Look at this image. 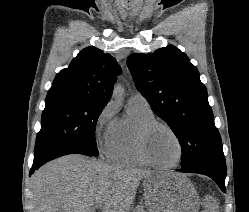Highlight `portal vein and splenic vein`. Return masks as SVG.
Returning a JSON list of instances; mask_svg holds the SVG:
<instances>
[{
  "instance_id": "portal-vein-and-splenic-vein-1",
  "label": "portal vein and splenic vein",
  "mask_w": 249,
  "mask_h": 212,
  "mask_svg": "<svg viewBox=\"0 0 249 212\" xmlns=\"http://www.w3.org/2000/svg\"><path fill=\"white\" fill-rule=\"evenodd\" d=\"M99 206H100V202H97V208H99Z\"/></svg>"
}]
</instances>
